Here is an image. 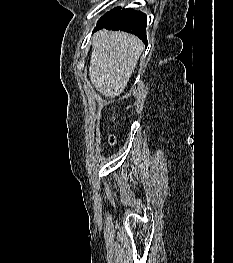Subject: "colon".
I'll list each match as a JSON object with an SVG mask.
<instances>
[{"mask_svg":"<svg viewBox=\"0 0 233 263\" xmlns=\"http://www.w3.org/2000/svg\"><path fill=\"white\" fill-rule=\"evenodd\" d=\"M109 141H110L111 144H114V143H115V137H114V136H111V137L109 138Z\"/></svg>","mask_w":233,"mask_h":263,"instance_id":"colon-1","label":"colon"}]
</instances>
